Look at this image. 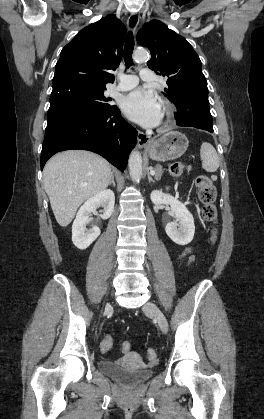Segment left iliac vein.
<instances>
[{"instance_id":"obj_1","label":"left iliac vein","mask_w":264,"mask_h":419,"mask_svg":"<svg viewBox=\"0 0 264 419\" xmlns=\"http://www.w3.org/2000/svg\"><path fill=\"white\" fill-rule=\"evenodd\" d=\"M143 310L152 315L153 318L157 321L160 329L162 330V332L166 333L168 331V322L167 319L165 317V315L163 314V312L159 309V307L152 303V302H147L144 306H143Z\"/></svg>"}]
</instances>
